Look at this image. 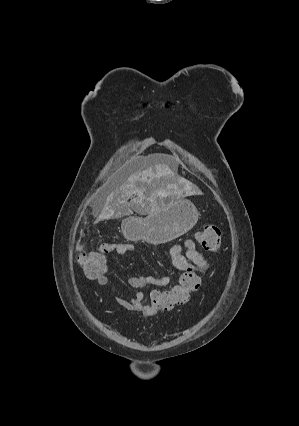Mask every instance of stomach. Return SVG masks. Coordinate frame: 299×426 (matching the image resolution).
Instances as JSON below:
<instances>
[{"label":"stomach","instance_id":"1","mask_svg":"<svg viewBox=\"0 0 299 426\" xmlns=\"http://www.w3.org/2000/svg\"><path fill=\"white\" fill-rule=\"evenodd\" d=\"M195 205L184 198L159 206L145 218L128 217L122 222L126 238L143 240L152 245L172 241L191 230L198 221Z\"/></svg>","mask_w":299,"mask_h":426}]
</instances>
